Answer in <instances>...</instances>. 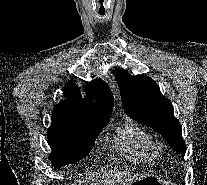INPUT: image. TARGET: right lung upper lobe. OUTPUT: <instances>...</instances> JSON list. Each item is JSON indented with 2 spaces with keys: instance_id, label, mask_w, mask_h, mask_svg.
Returning a JSON list of instances; mask_svg holds the SVG:
<instances>
[{
  "instance_id": "right-lung-upper-lobe-1",
  "label": "right lung upper lobe",
  "mask_w": 207,
  "mask_h": 185,
  "mask_svg": "<svg viewBox=\"0 0 207 185\" xmlns=\"http://www.w3.org/2000/svg\"><path fill=\"white\" fill-rule=\"evenodd\" d=\"M82 98L79 88L70 83L64 95L68 99L60 102L52 112L53 123L70 124L86 128H103L109 123L114 106L113 96L106 83L90 82ZM94 98L95 103L91 101Z\"/></svg>"
}]
</instances>
